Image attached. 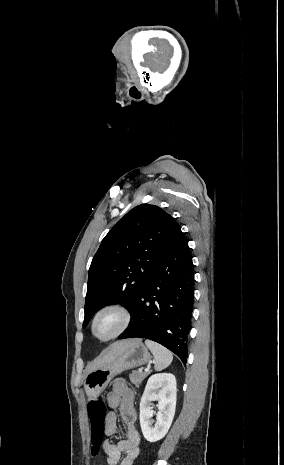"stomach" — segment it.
Segmentation results:
<instances>
[{
    "instance_id": "stomach-1",
    "label": "stomach",
    "mask_w": 284,
    "mask_h": 465,
    "mask_svg": "<svg viewBox=\"0 0 284 465\" xmlns=\"http://www.w3.org/2000/svg\"><path fill=\"white\" fill-rule=\"evenodd\" d=\"M152 357L142 343H135L131 345L125 351H122L114 361L95 369L92 373L87 375L84 381V391L88 399H98L101 393L108 387L111 379H114L116 375L127 371V369H135V367H142L147 365L151 361Z\"/></svg>"
}]
</instances>
